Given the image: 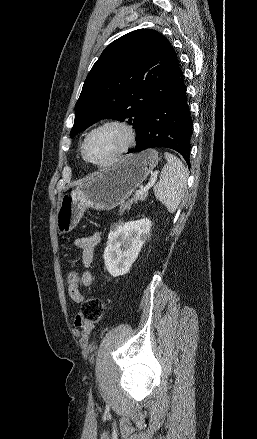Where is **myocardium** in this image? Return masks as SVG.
I'll return each instance as SVG.
<instances>
[{
	"instance_id": "obj_1",
	"label": "myocardium",
	"mask_w": 257,
	"mask_h": 439,
	"mask_svg": "<svg viewBox=\"0 0 257 439\" xmlns=\"http://www.w3.org/2000/svg\"><path fill=\"white\" fill-rule=\"evenodd\" d=\"M113 127L119 129L124 137V145L121 149H119L113 156H111L108 160L103 162H95L91 160L87 155V146L91 137L98 131ZM135 142V133L130 125L121 121H105L94 127L90 132L86 135L83 144H82V156L84 160L92 166L97 168H106L113 165L117 160H119L128 150L134 145Z\"/></svg>"
}]
</instances>
